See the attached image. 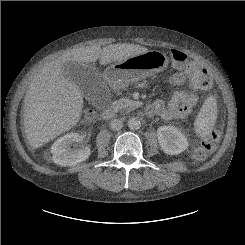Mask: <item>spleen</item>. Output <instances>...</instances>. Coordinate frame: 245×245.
Masks as SVG:
<instances>
[{
    "mask_svg": "<svg viewBox=\"0 0 245 245\" xmlns=\"http://www.w3.org/2000/svg\"><path fill=\"white\" fill-rule=\"evenodd\" d=\"M217 117V101L213 96H209L202 105L195 120L194 127L196 134L205 138L213 129Z\"/></svg>",
    "mask_w": 245,
    "mask_h": 245,
    "instance_id": "obj_1",
    "label": "spleen"
}]
</instances>
